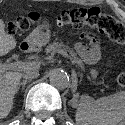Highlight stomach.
<instances>
[{
    "label": "stomach",
    "instance_id": "1",
    "mask_svg": "<svg viewBox=\"0 0 125 125\" xmlns=\"http://www.w3.org/2000/svg\"><path fill=\"white\" fill-rule=\"evenodd\" d=\"M41 16V15H39ZM50 30L47 27L37 26L27 37L28 49L37 50L50 41Z\"/></svg>",
    "mask_w": 125,
    "mask_h": 125
}]
</instances>
